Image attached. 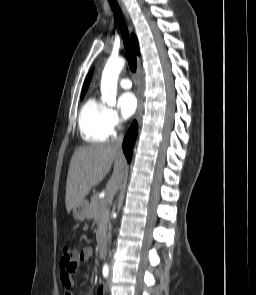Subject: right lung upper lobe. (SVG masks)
Here are the masks:
<instances>
[{"label": "right lung upper lobe", "mask_w": 256, "mask_h": 295, "mask_svg": "<svg viewBox=\"0 0 256 295\" xmlns=\"http://www.w3.org/2000/svg\"><path fill=\"white\" fill-rule=\"evenodd\" d=\"M132 42H133V46L135 49V52L139 55V46H138V41L136 39V36L134 34H132ZM93 70L89 73V75L87 76L84 85H83V89H82V93L81 94H85L92 76Z\"/></svg>", "instance_id": "right-lung-upper-lobe-1"}]
</instances>
